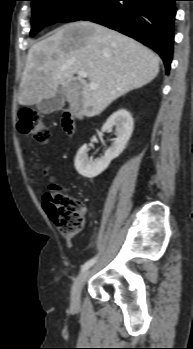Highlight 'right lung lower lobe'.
<instances>
[{
	"instance_id": "right-lung-lower-lobe-1",
	"label": "right lung lower lobe",
	"mask_w": 193,
	"mask_h": 349,
	"mask_svg": "<svg viewBox=\"0 0 193 349\" xmlns=\"http://www.w3.org/2000/svg\"><path fill=\"white\" fill-rule=\"evenodd\" d=\"M177 0H101L80 20H90L128 35L154 49L166 72L172 60Z\"/></svg>"
}]
</instances>
